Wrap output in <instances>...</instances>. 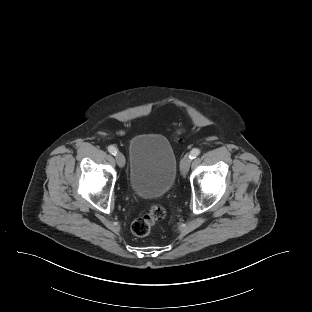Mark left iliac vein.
I'll return each mask as SVG.
<instances>
[{"label":"left iliac vein","mask_w":312,"mask_h":312,"mask_svg":"<svg viewBox=\"0 0 312 312\" xmlns=\"http://www.w3.org/2000/svg\"><path fill=\"white\" fill-rule=\"evenodd\" d=\"M191 159L188 155H185L180 162V172L182 175L187 174L190 167Z\"/></svg>","instance_id":"obj_1"}]
</instances>
